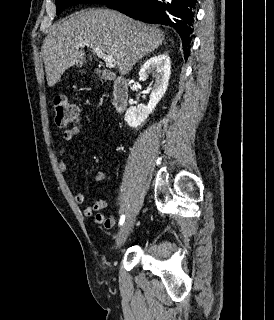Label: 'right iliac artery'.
I'll use <instances>...</instances> for the list:
<instances>
[{"instance_id": "right-iliac-artery-1", "label": "right iliac artery", "mask_w": 274, "mask_h": 320, "mask_svg": "<svg viewBox=\"0 0 274 320\" xmlns=\"http://www.w3.org/2000/svg\"><path fill=\"white\" fill-rule=\"evenodd\" d=\"M124 221H125V215H122L120 220H119V225L120 226L123 225Z\"/></svg>"}]
</instances>
